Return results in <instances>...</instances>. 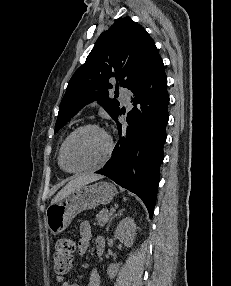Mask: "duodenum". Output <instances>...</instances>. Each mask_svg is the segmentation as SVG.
Segmentation results:
<instances>
[{
	"label": "duodenum",
	"instance_id": "duodenum-1",
	"mask_svg": "<svg viewBox=\"0 0 231 286\" xmlns=\"http://www.w3.org/2000/svg\"><path fill=\"white\" fill-rule=\"evenodd\" d=\"M97 248H98V253L99 254H102L103 252V248H104V242L103 241H100L97 245Z\"/></svg>",
	"mask_w": 231,
	"mask_h": 286
}]
</instances>
